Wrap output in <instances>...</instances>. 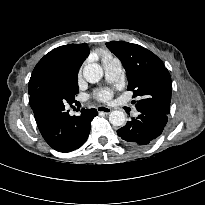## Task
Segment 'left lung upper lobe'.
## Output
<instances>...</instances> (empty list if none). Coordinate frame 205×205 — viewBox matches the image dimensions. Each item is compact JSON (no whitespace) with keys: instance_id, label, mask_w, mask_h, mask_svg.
Masks as SVG:
<instances>
[{"instance_id":"left-lung-upper-lobe-1","label":"left lung upper lobe","mask_w":205,"mask_h":205,"mask_svg":"<svg viewBox=\"0 0 205 205\" xmlns=\"http://www.w3.org/2000/svg\"><path fill=\"white\" fill-rule=\"evenodd\" d=\"M106 46L122 62L128 79L127 90L133 97L141 96L135 102L137 109L156 110L170 113L172 83L163 62L146 48L124 41L107 42Z\"/></svg>"}]
</instances>
